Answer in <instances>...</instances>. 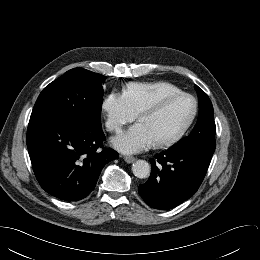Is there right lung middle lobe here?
<instances>
[{
	"label": "right lung middle lobe",
	"instance_id": "right-lung-middle-lobe-1",
	"mask_svg": "<svg viewBox=\"0 0 260 260\" xmlns=\"http://www.w3.org/2000/svg\"><path fill=\"white\" fill-rule=\"evenodd\" d=\"M105 76L75 68L51 82L40 93L30 119L44 116L75 118L101 125L102 82Z\"/></svg>",
	"mask_w": 260,
	"mask_h": 260
}]
</instances>
